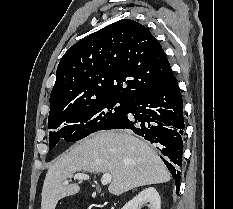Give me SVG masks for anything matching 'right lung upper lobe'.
<instances>
[{
    "instance_id": "right-lung-upper-lobe-1",
    "label": "right lung upper lobe",
    "mask_w": 233,
    "mask_h": 209,
    "mask_svg": "<svg viewBox=\"0 0 233 209\" xmlns=\"http://www.w3.org/2000/svg\"><path fill=\"white\" fill-rule=\"evenodd\" d=\"M170 71L151 32L134 20H119L64 54L50 94V113L107 98L129 100L156 86Z\"/></svg>"
}]
</instances>
